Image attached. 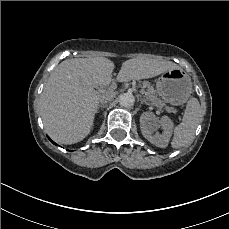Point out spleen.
<instances>
[{
	"mask_svg": "<svg viewBox=\"0 0 229 229\" xmlns=\"http://www.w3.org/2000/svg\"><path fill=\"white\" fill-rule=\"evenodd\" d=\"M202 121L203 115L200 112V104L197 99L192 98L188 102L183 122L174 129L172 147L180 148L190 145L193 142L195 130Z\"/></svg>",
	"mask_w": 229,
	"mask_h": 229,
	"instance_id": "spleen-1",
	"label": "spleen"
}]
</instances>
